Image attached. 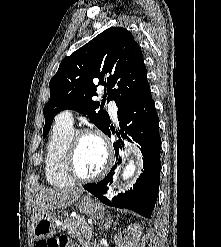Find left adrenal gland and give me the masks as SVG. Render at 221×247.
I'll return each instance as SVG.
<instances>
[{"label":"left adrenal gland","instance_id":"a2214340","mask_svg":"<svg viewBox=\"0 0 221 247\" xmlns=\"http://www.w3.org/2000/svg\"><path fill=\"white\" fill-rule=\"evenodd\" d=\"M107 224L105 223V225L104 226H106ZM102 227H99V229H101Z\"/></svg>","mask_w":221,"mask_h":247}]
</instances>
